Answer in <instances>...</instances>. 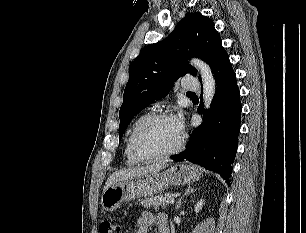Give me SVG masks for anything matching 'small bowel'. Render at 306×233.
I'll use <instances>...</instances> for the list:
<instances>
[{"label": "small bowel", "mask_w": 306, "mask_h": 233, "mask_svg": "<svg viewBox=\"0 0 306 233\" xmlns=\"http://www.w3.org/2000/svg\"><path fill=\"white\" fill-rule=\"evenodd\" d=\"M155 224L159 227L160 230L164 226L168 225V220L166 215L160 214V215H153L149 211H144L140 214V216L136 220V232L135 233H147L148 228Z\"/></svg>", "instance_id": "small-bowel-1"}]
</instances>
